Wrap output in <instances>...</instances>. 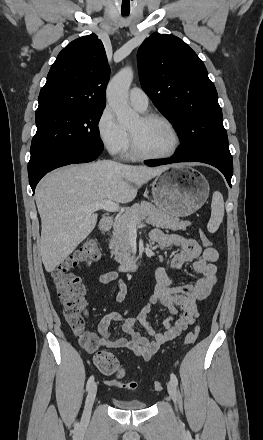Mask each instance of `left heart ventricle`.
I'll use <instances>...</instances> for the list:
<instances>
[{"instance_id":"obj_1","label":"left heart ventricle","mask_w":263,"mask_h":440,"mask_svg":"<svg viewBox=\"0 0 263 440\" xmlns=\"http://www.w3.org/2000/svg\"><path fill=\"white\" fill-rule=\"evenodd\" d=\"M139 147L150 154H161L171 150L174 138L169 128L162 122H144L140 117L130 126Z\"/></svg>"}]
</instances>
